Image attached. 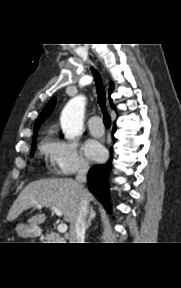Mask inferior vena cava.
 Segmentation results:
<instances>
[{"instance_id":"1","label":"inferior vena cava","mask_w":181,"mask_h":288,"mask_svg":"<svg viewBox=\"0 0 181 288\" xmlns=\"http://www.w3.org/2000/svg\"><path fill=\"white\" fill-rule=\"evenodd\" d=\"M88 170L89 166L85 163H82L77 171L76 181L80 188V202L77 217L70 226L69 243H84L86 219L89 212V204L86 197V190L83 187V183L86 182V175Z\"/></svg>"}]
</instances>
